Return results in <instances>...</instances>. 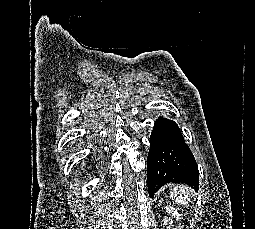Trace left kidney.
Segmentation results:
<instances>
[{
  "mask_svg": "<svg viewBox=\"0 0 255 229\" xmlns=\"http://www.w3.org/2000/svg\"><path fill=\"white\" fill-rule=\"evenodd\" d=\"M165 209L168 214L174 216V218H176L177 220L180 219L178 211L175 208H173L172 206H166Z\"/></svg>",
  "mask_w": 255,
  "mask_h": 229,
  "instance_id": "left-kidney-1",
  "label": "left kidney"
}]
</instances>
